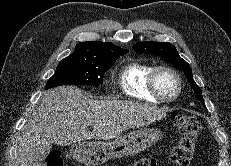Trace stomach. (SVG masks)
<instances>
[{
    "instance_id": "0dacf381",
    "label": "stomach",
    "mask_w": 231,
    "mask_h": 166,
    "mask_svg": "<svg viewBox=\"0 0 231 166\" xmlns=\"http://www.w3.org/2000/svg\"><path fill=\"white\" fill-rule=\"evenodd\" d=\"M160 139V131L142 128L111 141H80L71 146L73 159L87 166H96L110 159L141 153Z\"/></svg>"
}]
</instances>
